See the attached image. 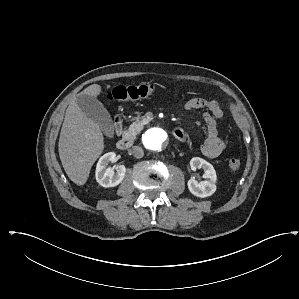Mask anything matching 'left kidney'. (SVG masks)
<instances>
[{"label": "left kidney", "mask_w": 299, "mask_h": 299, "mask_svg": "<svg viewBox=\"0 0 299 299\" xmlns=\"http://www.w3.org/2000/svg\"><path fill=\"white\" fill-rule=\"evenodd\" d=\"M190 167L193 171L202 168L204 170L203 177L206 180L198 182L195 177H192L187 185L189 191L196 197L205 198L211 196L216 191L217 175L214 167L206 160L194 157L190 161Z\"/></svg>", "instance_id": "1"}]
</instances>
